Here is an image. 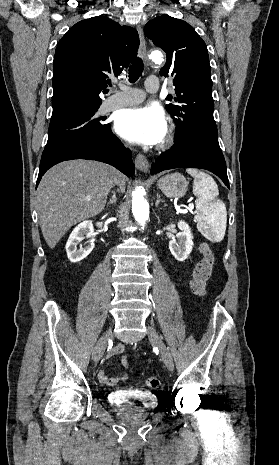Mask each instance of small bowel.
<instances>
[{
	"label": "small bowel",
	"mask_w": 279,
	"mask_h": 465,
	"mask_svg": "<svg viewBox=\"0 0 279 465\" xmlns=\"http://www.w3.org/2000/svg\"><path fill=\"white\" fill-rule=\"evenodd\" d=\"M124 345L122 343L117 344L113 349H111L108 353V357H112L115 355H121V364L123 367L127 368L129 365V356L124 355ZM98 377L100 381L106 385H115L120 381L126 380V376H121V377H111L107 375V373L104 370H100L98 373Z\"/></svg>",
	"instance_id": "c3829d8e"
}]
</instances>
